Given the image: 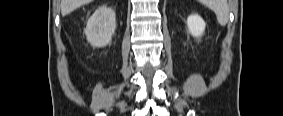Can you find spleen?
Listing matches in <instances>:
<instances>
[{
	"mask_svg": "<svg viewBox=\"0 0 283 116\" xmlns=\"http://www.w3.org/2000/svg\"><path fill=\"white\" fill-rule=\"evenodd\" d=\"M202 3L215 13L219 25L225 26L228 23L229 7L226 0H204Z\"/></svg>",
	"mask_w": 283,
	"mask_h": 116,
	"instance_id": "spleen-1",
	"label": "spleen"
}]
</instances>
